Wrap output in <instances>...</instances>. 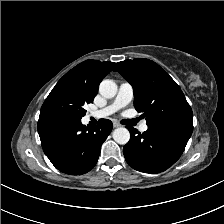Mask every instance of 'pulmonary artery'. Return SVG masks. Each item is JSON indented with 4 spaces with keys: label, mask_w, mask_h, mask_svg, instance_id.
<instances>
[{
    "label": "pulmonary artery",
    "mask_w": 224,
    "mask_h": 224,
    "mask_svg": "<svg viewBox=\"0 0 224 224\" xmlns=\"http://www.w3.org/2000/svg\"><path fill=\"white\" fill-rule=\"evenodd\" d=\"M132 99H133V87L128 82H122L119 85L118 93L114 101L110 105L100 110L92 111L90 115L94 118H104L106 116L113 114L119 109L126 107L132 101ZM147 129H148L147 124L142 123L140 126V130L144 132L147 131Z\"/></svg>",
    "instance_id": "pulmonary-artery-1"
}]
</instances>
